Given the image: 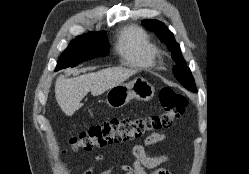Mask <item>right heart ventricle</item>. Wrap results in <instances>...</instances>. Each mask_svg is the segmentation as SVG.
I'll return each instance as SVG.
<instances>
[{
    "instance_id": "e07e8e85",
    "label": "right heart ventricle",
    "mask_w": 249,
    "mask_h": 174,
    "mask_svg": "<svg viewBox=\"0 0 249 174\" xmlns=\"http://www.w3.org/2000/svg\"><path fill=\"white\" fill-rule=\"evenodd\" d=\"M117 51L123 62L136 68L155 65L156 50L147 34L137 26L123 29L118 37Z\"/></svg>"
}]
</instances>
